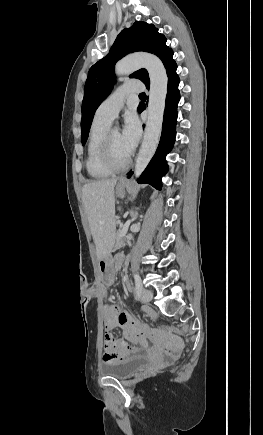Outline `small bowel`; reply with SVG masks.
I'll list each match as a JSON object with an SVG mask.
<instances>
[{
    "instance_id": "1",
    "label": "small bowel",
    "mask_w": 263,
    "mask_h": 435,
    "mask_svg": "<svg viewBox=\"0 0 263 435\" xmlns=\"http://www.w3.org/2000/svg\"><path fill=\"white\" fill-rule=\"evenodd\" d=\"M124 261L123 255L114 257L112 261L114 273L122 267ZM104 328L106 332L121 328L128 341H137L132 345L125 339L114 337L112 350L103 351V361L106 363L121 361L134 355H144V353L147 356L161 354V359L176 361L177 350L184 348L182 341H174L176 339L174 332H157L115 303H109L105 307ZM145 338L150 342L143 341Z\"/></svg>"
}]
</instances>
